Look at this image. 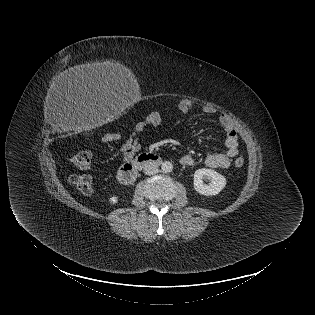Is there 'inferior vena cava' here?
Instances as JSON below:
<instances>
[{"label":"inferior vena cava","instance_id":"602c4592","mask_svg":"<svg viewBox=\"0 0 315 315\" xmlns=\"http://www.w3.org/2000/svg\"><path fill=\"white\" fill-rule=\"evenodd\" d=\"M143 171L146 175H154V174L158 173L159 169L155 163L148 162L144 165Z\"/></svg>","mask_w":315,"mask_h":315}]
</instances>
